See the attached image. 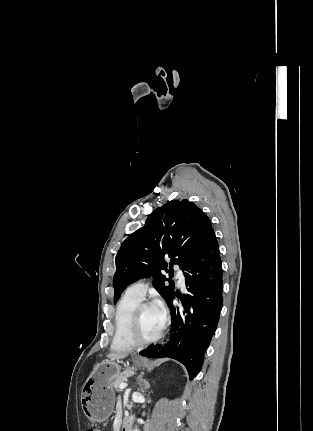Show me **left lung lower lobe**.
<instances>
[{"mask_svg":"<svg viewBox=\"0 0 313 431\" xmlns=\"http://www.w3.org/2000/svg\"><path fill=\"white\" fill-rule=\"evenodd\" d=\"M188 294L176 296L183 309L172 304L175 293L167 302L172 329L178 330L161 352L159 346H149L140 352L147 357H170L183 363L193 379L201 370L203 355L216 331L223 305V273L219 246L211 227L191 262L185 267Z\"/></svg>","mask_w":313,"mask_h":431,"instance_id":"0a47b994","label":"left lung lower lobe"}]
</instances>
